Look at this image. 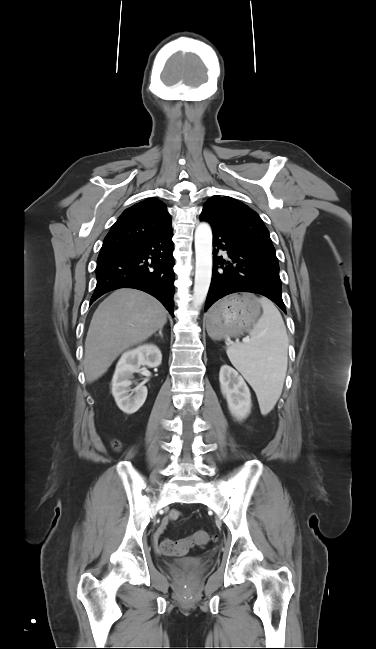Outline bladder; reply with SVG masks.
Returning <instances> with one entry per match:
<instances>
[{"label":"bladder","instance_id":"bladder-1","mask_svg":"<svg viewBox=\"0 0 376 649\" xmlns=\"http://www.w3.org/2000/svg\"><path fill=\"white\" fill-rule=\"evenodd\" d=\"M181 563L185 564V565H189V566L194 567V568H197L200 565L199 562L191 561V560H183Z\"/></svg>","mask_w":376,"mask_h":649}]
</instances>
